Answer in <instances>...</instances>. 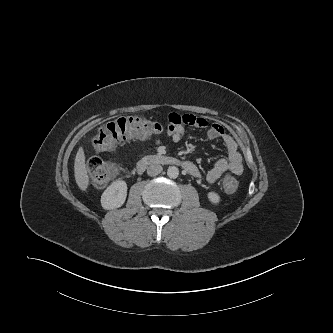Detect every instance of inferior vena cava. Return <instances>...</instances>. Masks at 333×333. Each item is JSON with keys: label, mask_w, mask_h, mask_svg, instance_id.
<instances>
[{"label": "inferior vena cava", "mask_w": 333, "mask_h": 333, "mask_svg": "<svg viewBox=\"0 0 333 333\" xmlns=\"http://www.w3.org/2000/svg\"><path fill=\"white\" fill-rule=\"evenodd\" d=\"M163 170V167L159 164H151L148 168H147V174L149 176H156L158 174H160Z\"/></svg>", "instance_id": "obj_1"}]
</instances>
